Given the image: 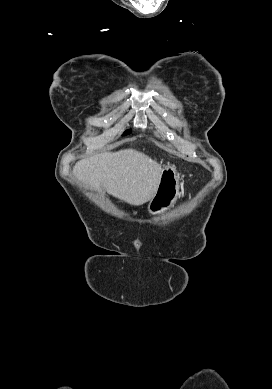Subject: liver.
I'll return each mask as SVG.
<instances>
[{"label":"liver","mask_w":272,"mask_h":389,"mask_svg":"<svg viewBox=\"0 0 272 389\" xmlns=\"http://www.w3.org/2000/svg\"><path fill=\"white\" fill-rule=\"evenodd\" d=\"M162 168L157 161L134 149L105 152L78 161L73 175L95 191L131 205H142L156 193Z\"/></svg>","instance_id":"6515ba94"}]
</instances>
